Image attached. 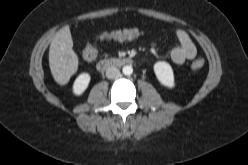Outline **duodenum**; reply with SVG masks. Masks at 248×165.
<instances>
[{
    "label": "duodenum",
    "mask_w": 248,
    "mask_h": 165,
    "mask_svg": "<svg viewBox=\"0 0 248 165\" xmlns=\"http://www.w3.org/2000/svg\"><path fill=\"white\" fill-rule=\"evenodd\" d=\"M132 63L133 60L130 57L107 58V59H102L97 63V69L98 71L102 72L111 67L126 66V65H131Z\"/></svg>",
    "instance_id": "duodenum-1"
}]
</instances>
